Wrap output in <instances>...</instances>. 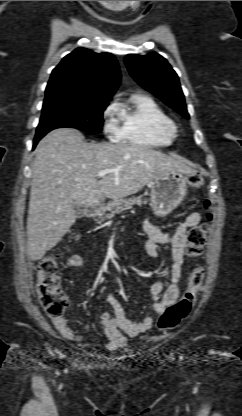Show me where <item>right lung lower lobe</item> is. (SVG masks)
I'll list each match as a JSON object with an SVG mask.
<instances>
[{
    "mask_svg": "<svg viewBox=\"0 0 242 416\" xmlns=\"http://www.w3.org/2000/svg\"><path fill=\"white\" fill-rule=\"evenodd\" d=\"M42 137H35L34 141H33V149L35 148L36 144L38 143V141L41 139Z\"/></svg>",
    "mask_w": 242,
    "mask_h": 416,
    "instance_id": "1",
    "label": "right lung lower lobe"
}]
</instances>
